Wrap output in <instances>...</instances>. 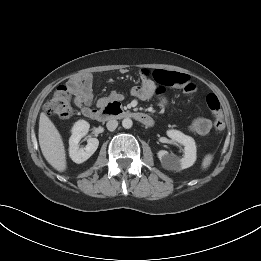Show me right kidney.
Here are the masks:
<instances>
[{"label":"right kidney","instance_id":"obj_1","mask_svg":"<svg viewBox=\"0 0 261 261\" xmlns=\"http://www.w3.org/2000/svg\"><path fill=\"white\" fill-rule=\"evenodd\" d=\"M89 123L85 120L77 121L72 128V135L69 139V156L77 164L89 159L97 150L99 141L97 138H89L84 148L79 147L80 140L87 135Z\"/></svg>","mask_w":261,"mask_h":261}]
</instances>
